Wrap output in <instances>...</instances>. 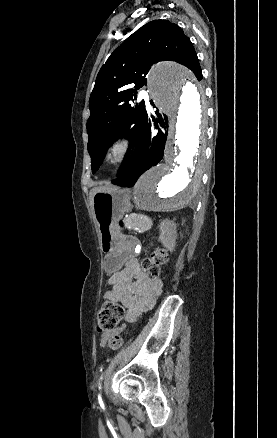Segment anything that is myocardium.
Segmentation results:
<instances>
[{
    "label": "myocardium",
    "instance_id": "myocardium-1",
    "mask_svg": "<svg viewBox=\"0 0 277 438\" xmlns=\"http://www.w3.org/2000/svg\"><path fill=\"white\" fill-rule=\"evenodd\" d=\"M133 147V141L128 136H121L112 141L105 152V160L110 165L122 164Z\"/></svg>",
    "mask_w": 277,
    "mask_h": 438
}]
</instances>
